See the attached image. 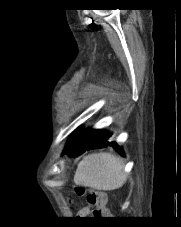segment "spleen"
<instances>
[{
	"label": "spleen",
	"mask_w": 181,
	"mask_h": 227,
	"mask_svg": "<svg viewBox=\"0 0 181 227\" xmlns=\"http://www.w3.org/2000/svg\"><path fill=\"white\" fill-rule=\"evenodd\" d=\"M123 168V161L110 153L91 154L79 162L74 182L96 190H115L126 182Z\"/></svg>",
	"instance_id": "1"
}]
</instances>
